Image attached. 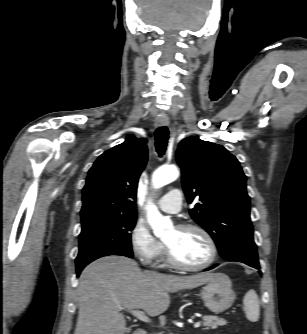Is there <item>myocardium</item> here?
<instances>
[{
	"instance_id": "f54148a6",
	"label": "myocardium",
	"mask_w": 307,
	"mask_h": 334,
	"mask_svg": "<svg viewBox=\"0 0 307 334\" xmlns=\"http://www.w3.org/2000/svg\"><path fill=\"white\" fill-rule=\"evenodd\" d=\"M177 229H181V230H195L197 232H199L207 241L209 248H210V256L209 258L204 262L201 263L199 265H187L184 264L182 262H180L175 255L173 254L172 250L170 249V247L165 243V247H166V255H167V259L168 262L175 268L179 269V270H183V271H199V270H203L208 268L209 266H211L218 255V249H217V245L213 239V237L211 236V234L202 226L197 225V224H193V223H184V224H180Z\"/></svg>"
}]
</instances>
